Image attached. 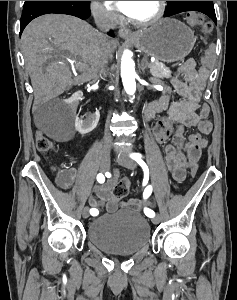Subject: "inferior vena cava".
I'll return each instance as SVG.
<instances>
[{
    "label": "inferior vena cava",
    "mask_w": 237,
    "mask_h": 300,
    "mask_svg": "<svg viewBox=\"0 0 237 300\" xmlns=\"http://www.w3.org/2000/svg\"><path fill=\"white\" fill-rule=\"evenodd\" d=\"M92 11L101 37V73L106 77L107 71L105 67H107L110 59H112V49L106 33H108L110 29H115L120 19L118 15H115L112 11H107L102 5H96V7H93ZM106 139H110L108 131H106Z\"/></svg>",
    "instance_id": "obj_1"
}]
</instances>
